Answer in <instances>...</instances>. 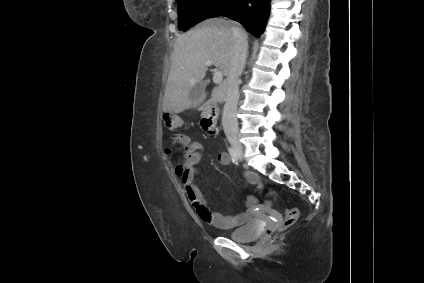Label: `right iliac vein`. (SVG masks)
Wrapping results in <instances>:
<instances>
[{
  "instance_id": "1",
  "label": "right iliac vein",
  "mask_w": 424,
  "mask_h": 283,
  "mask_svg": "<svg viewBox=\"0 0 424 283\" xmlns=\"http://www.w3.org/2000/svg\"><path fill=\"white\" fill-rule=\"evenodd\" d=\"M228 140L230 142V144L232 145L233 149L236 152V155L239 158L243 157V147L241 142L239 141V138L236 135H231L228 137Z\"/></svg>"
}]
</instances>
